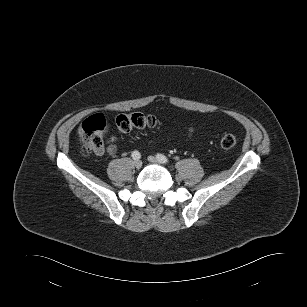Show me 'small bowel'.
<instances>
[{"instance_id":"small-bowel-1","label":"small bowel","mask_w":307,"mask_h":307,"mask_svg":"<svg viewBox=\"0 0 307 307\" xmlns=\"http://www.w3.org/2000/svg\"><path fill=\"white\" fill-rule=\"evenodd\" d=\"M192 131H193L192 128H190V129L188 130V135H189V136L191 135ZM107 150H108L109 152H114L115 148H114V146L109 145V146L107 147Z\"/></svg>"}]
</instances>
